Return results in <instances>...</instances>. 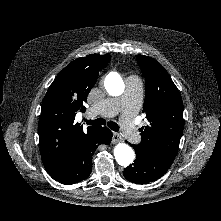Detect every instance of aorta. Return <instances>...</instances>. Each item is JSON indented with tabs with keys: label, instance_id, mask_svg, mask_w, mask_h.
I'll use <instances>...</instances> for the list:
<instances>
[{
	"label": "aorta",
	"instance_id": "obj_1",
	"mask_svg": "<svg viewBox=\"0 0 221 221\" xmlns=\"http://www.w3.org/2000/svg\"><path fill=\"white\" fill-rule=\"evenodd\" d=\"M104 85L111 96L121 95L125 88L123 79L116 72H111L106 76ZM114 156L119 165L127 167L133 163L135 153L128 144L119 143L114 148Z\"/></svg>",
	"mask_w": 221,
	"mask_h": 221
}]
</instances>
